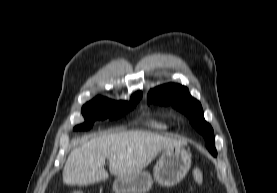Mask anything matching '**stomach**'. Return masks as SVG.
<instances>
[{
    "instance_id": "obj_1",
    "label": "stomach",
    "mask_w": 277,
    "mask_h": 193,
    "mask_svg": "<svg viewBox=\"0 0 277 193\" xmlns=\"http://www.w3.org/2000/svg\"><path fill=\"white\" fill-rule=\"evenodd\" d=\"M191 166V154L183 147L167 148L154 166V179L163 187L178 184ZM153 180L146 171H139L126 177H117L113 182L115 193H146Z\"/></svg>"
}]
</instances>
